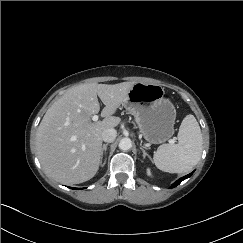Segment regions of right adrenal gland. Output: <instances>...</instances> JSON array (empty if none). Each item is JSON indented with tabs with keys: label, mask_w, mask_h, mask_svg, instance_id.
Returning <instances> with one entry per match:
<instances>
[{
	"label": "right adrenal gland",
	"mask_w": 243,
	"mask_h": 243,
	"mask_svg": "<svg viewBox=\"0 0 243 243\" xmlns=\"http://www.w3.org/2000/svg\"><path fill=\"white\" fill-rule=\"evenodd\" d=\"M107 146H108V144H104L103 147H102V149H101V159L103 158V154H104V152L106 153V151H107ZM106 159H107V158H105V160H104V162L102 163L101 166H104V165H105V163H106Z\"/></svg>",
	"instance_id": "1"
}]
</instances>
